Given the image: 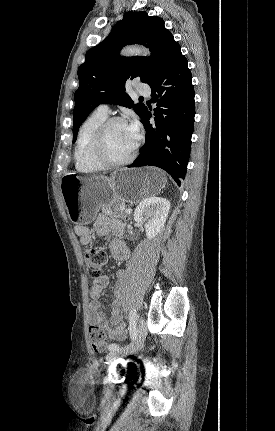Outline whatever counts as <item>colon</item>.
Segmentation results:
<instances>
[{"instance_id":"colon-1","label":"colon","mask_w":275,"mask_h":431,"mask_svg":"<svg viewBox=\"0 0 275 431\" xmlns=\"http://www.w3.org/2000/svg\"><path fill=\"white\" fill-rule=\"evenodd\" d=\"M85 263L88 273L93 278L101 276L107 263V254L103 249H89L85 253ZM89 339L95 352H102L106 349L108 341L105 332L98 325H91L89 328Z\"/></svg>"}]
</instances>
